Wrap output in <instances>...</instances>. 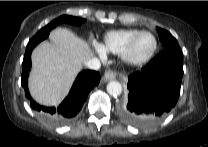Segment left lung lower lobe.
I'll return each mask as SVG.
<instances>
[{
  "label": "left lung lower lobe",
  "mask_w": 208,
  "mask_h": 147,
  "mask_svg": "<svg viewBox=\"0 0 208 147\" xmlns=\"http://www.w3.org/2000/svg\"><path fill=\"white\" fill-rule=\"evenodd\" d=\"M183 76L181 53L164 50L141 71L128 77V101L120 116L145 126L165 116L177 103Z\"/></svg>",
  "instance_id": "0a47b994"
}]
</instances>
